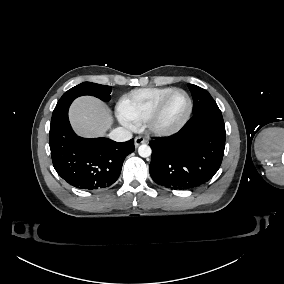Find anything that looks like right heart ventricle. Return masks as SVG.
<instances>
[{"label": "right heart ventricle", "instance_id": "obj_1", "mask_svg": "<svg viewBox=\"0 0 284 284\" xmlns=\"http://www.w3.org/2000/svg\"><path fill=\"white\" fill-rule=\"evenodd\" d=\"M173 89L175 88L171 86L133 89L120 97L117 105L119 115L126 123L138 125L144 121L159 99Z\"/></svg>", "mask_w": 284, "mask_h": 284}]
</instances>
